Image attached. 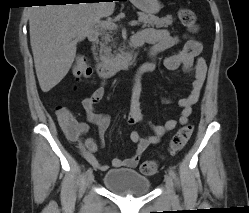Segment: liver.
Here are the masks:
<instances>
[{
  "instance_id": "1",
  "label": "liver",
  "mask_w": 249,
  "mask_h": 213,
  "mask_svg": "<svg viewBox=\"0 0 249 213\" xmlns=\"http://www.w3.org/2000/svg\"><path fill=\"white\" fill-rule=\"evenodd\" d=\"M114 9V2L33 6L30 9V44L43 92L50 91L67 75L77 43Z\"/></svg>"
}]
</instances>
